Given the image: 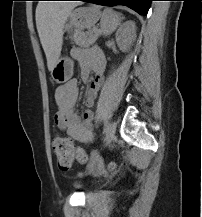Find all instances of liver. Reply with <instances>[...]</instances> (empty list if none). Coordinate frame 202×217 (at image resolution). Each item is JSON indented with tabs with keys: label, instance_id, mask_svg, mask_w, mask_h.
<instances>
[{
	"label": "liver",
	"instance_id": "6515ba94",
	"mask_svg": "<svg viewBox=\"0 0 202 217\" xmlns=\"http://www.w3.org/2000/svg\"><path fill=\"white\" fill-rule=\"evenodd\" d=\"M77 3L41 2L36 8V26L44 49L48 70L57 63L63 44V28Z\"/></svg>",
	"mask_w": 202,
	"mask_h": 217
}]
</instances>
